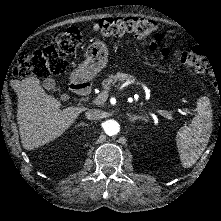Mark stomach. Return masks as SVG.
I'll use <instances>...</instances> for the list:
<instances>
[{"label":"stomach","instance_id":"1","mask_svg":"<svg viewBox=\"0 0 221 221\" xmlns=\"http://www.w3.org/2000/svg\"><path fill=\"white\" fill-rule=\"evenodd\" d=\"M107 60V49L101 42L90 45L86 51V60L75 67L73 77L77 81L92 79L104 67Z\"/></svg>","mask_w":221,"mask_h":221}]
</instances>
